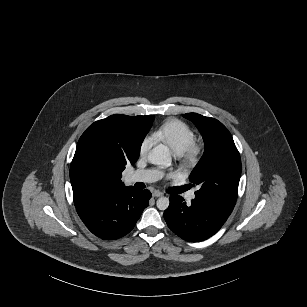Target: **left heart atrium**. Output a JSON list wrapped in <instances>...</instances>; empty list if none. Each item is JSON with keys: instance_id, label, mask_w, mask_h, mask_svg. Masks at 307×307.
Returning <instances> with one entry per match:
<instances>
[{"instance_id": "left-heart-atrium-1", "label": "left heart atrium", "mask_w": 307, "mask_h": 307, "mask_svg": "<svg viewBox=\"0 0 307 307\" xmlns=\"http://www.w3.org/2000/svg\"><path fill=\"white\" fill-rule=\"evenodd\" d=\"M161 173L165 176V175H173L174 173L173 172H171V171H169V170H167V169H163V170H161Z\"/></svg>"}]
</instances>
